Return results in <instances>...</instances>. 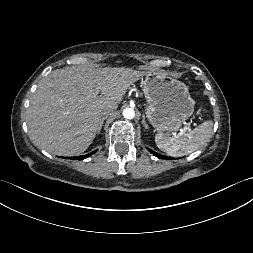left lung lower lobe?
Returning a JSON list of instances; mask_svg holds the SVG:
<instances>
[{
	"mask_svg": "<svg viewBox=\"0 0 253 253\" xmlns=\"http://www.w3.org/2000/svg\"><path fill=\"white\" fill-rule=\"evenodd\" d=\"M153 155H155L156 157H158V158H161V159H171L170 157H166V156H161V155H159L158 153H156V152H154V151H152V150H150V149H148Z\"/></svg>",
	"mask_w": 253,
	"mask_h": 253,
	"instance_id": "1",
	"label": "left lung lower lobe"
}]
</instances>
